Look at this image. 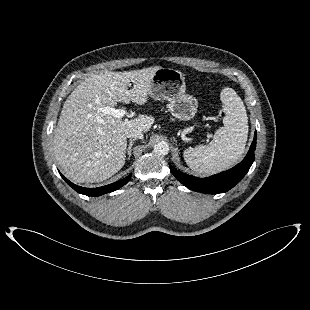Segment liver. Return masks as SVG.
I'll list each match as a JSON object with an SVG mask.
<instances>
[{
    "label": "liver",
    "instance_id": "obj_1",
    "mask_svg": "<svg viewBox=\"0 0 310 310\" xmlns=\"http://www.w3.org/2000/svg\"><path fill=\"white\" fill-rule=\"evenodd\" d=\"M160 66L141 70L99 73L81 82L66 99L54 131L53 152L58 164L75 182H101L125 164L127 134L148 132L155 119L139 115L118 119L100 111L118 102L143 105L154 73ZM130 82L132 89H128Z\"/></svg>",
    "mask_w": 310,
    "mask_h": 310
}]
</instances>
